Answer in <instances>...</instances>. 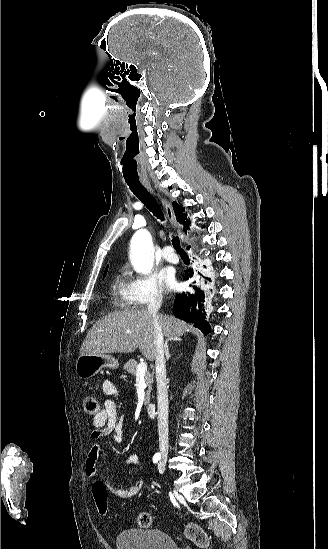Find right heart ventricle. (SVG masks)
<instances>
[{
    "mask_svg": "<svg viewBox=\"0 0 328 549\" xmlns=\"http://www.w3.org/2000/svg\"><path fill=\"white\" fill-rule=\"evenodd\" d=\"M111 303H139L131 294L128 282L121 276L114 279L111 290Z\"/></svg>",
    "mask_w": 328,
    "mask_h": 549,
    "instance_id": "1",
    "label": "right heart ventricle"
}]
</instances>
